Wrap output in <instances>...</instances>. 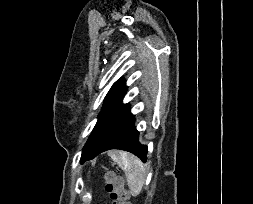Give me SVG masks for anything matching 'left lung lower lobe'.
I'll list each match as a JSON object with an SVG mask.
<instances>
[{"instance_id":"obj_1","label":"left lung lower lobe","mask_w":253,"mask_h":204,"mask_svg":"<svg viewBox=\"0 0 253 204\" xmlns=\"http://www.w3.org/2000/svg\"><path fill=\"white\" fill-rule=\"evenodd\" d=\"M139 132L134 127V115L130 105H117L99 114L98 121L88 138L81 155V162L93 159L110 149L129 151L144 163L147 160V146L138 141Z\"/></svg>"}]
</instances>
